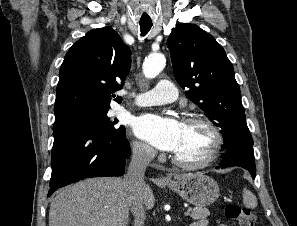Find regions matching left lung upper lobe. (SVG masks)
<instances>
[{
    "instance_id": "left-lung-upper-lobe-1",
    "label": "left lung upper lobe",
    "mask_w": 297,
    "mask_h": 226,
    "mask_svg": "<svg viewBox=\"0 0 297 226\" xmlns=\"http://www.w3.org/2000/svg\"><path fill=\"white\" fill-rule=\"evenodd\" d=\"M167 46L175 78L186 89V97L221 128L222 149H253L240 88L223 47L194 24H179L171 32Z\"/></svg>"
}]
</instances>
